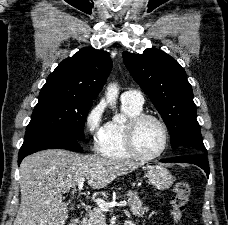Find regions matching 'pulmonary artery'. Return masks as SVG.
<instances>
[{
	"label": "pulmonary artery",
	"instance_id": "1",
	"mask_svg": "<svg viewBox=\"0 0 228 225\" xmlns=\"http://www.w3.org/2000/svg\"><path fill=\"white\" fill-rule=\"evenodd\" d=\"M121 102L136 107H142L144 104V96L140 91H125L121 94Z\"/></svg>",
	"mask_w": 228,
	"mask_h": 225
}]
</instances>
